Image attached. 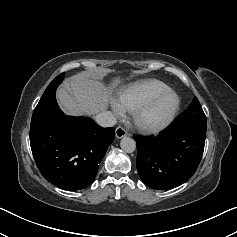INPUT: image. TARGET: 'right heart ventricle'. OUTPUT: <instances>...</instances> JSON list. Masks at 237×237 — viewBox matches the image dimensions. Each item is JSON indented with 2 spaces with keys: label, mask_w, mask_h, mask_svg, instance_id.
Instances as JSON below:
<instances>
[{
  "label": "right heart ventricle",
  "mask_w": 237,
  "mask_h": 237,
  "mask_svg": "<svg viewBox=\"0 0 237 237\" xmlns=\"http://www.w3.org/2000/svg\"><path fill=\"white\" fill-rule=\"evenodd\" d=\"M169 89V86L160 80L145 79L123 89L118 94L117 101L125 111H133L145 100Z\"/></svg>",
  "instance_id": "1"
}]
</instances>
